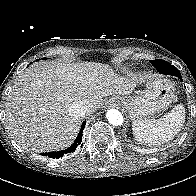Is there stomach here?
<instances>
[{"mask_svg": "<svg viewBox=\"0 0 196 196\" xmlns=\"http://www.w3.org/2000/svg\"><path fill=\"white\" fill-rule=\"evenodd\" d=\"M145 87L138 95L113 98L133 120L146 119L165 111L174 99V86L168 79L152 77L145 81Z\"/></svg>", "mask_w": 196, "mask_h": 196, "instance_id": "obj_1", "label": "stomach"}]
</instances>
